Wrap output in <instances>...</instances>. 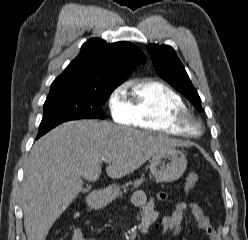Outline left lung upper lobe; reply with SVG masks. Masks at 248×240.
<instances>
[{"mask_svg": "<svg viewBox=\"0 0 248 240\" xmlns=\"http://www.w3.org/2000/svg\"><path fill=\"white\" fill-rule=\"evenodd\" d=\"M147 50L158 75L188 98L199 111H202L201 99L175 50L168 45L158 44L148 45Z\"/></svg>", "mask_w": 248, "mask_h": 240, "instance_id": "1", "label": "left lung upper lobe"}]
</instances>
